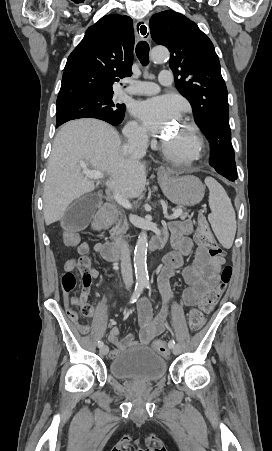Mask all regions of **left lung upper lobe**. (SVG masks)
Listing matches in <instances>:
<instances>
[{
	"label": "left lung upper lobe",
	"instance_id": "5c2ea615",
	"mask_svg": "<svg viewBox=\"0 0 272 451\" xmlns=\"http://www.w3.org/2000/svg\"><path fill=\"white\" fill-rule=\"evenodd\" d=\"M149 26L153 40L169 49L176 86L191 103L195 122L211 141V167L223 176L238 177L227 88L211 40L196 23L173 10L153 15Z\"/></svg>",
	"mask_w": 272,
	"mask_h": 451
}]
</instances>
